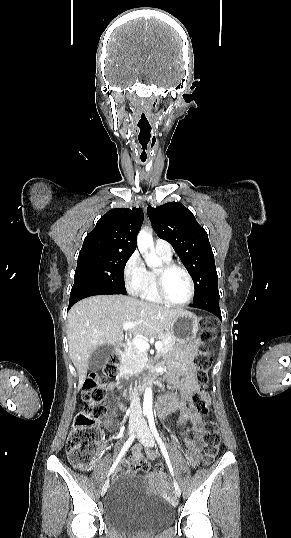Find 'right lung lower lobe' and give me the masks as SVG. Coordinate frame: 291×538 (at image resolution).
<instances>
[{
  "instance_id": "98d812e1",
  "label": "right lung lower lobe",
  "mask_w": 291,
  "mask_h": 538,
  "mask_svg": "<svg viewBox=\"0 0 291 538\" xmlns=\"http://www.w3.org/2000/svg\"><path fill=\"white\" fill-rule=\"evenodd\" d=\"M103 294H118V293H114V292H84V293H78L76 295L70 296V302H69L68 310L76 302H78L79 300H81L83 298H86V297H89V296H94V295H103Z\"/></svg>"
}]
</instances>
